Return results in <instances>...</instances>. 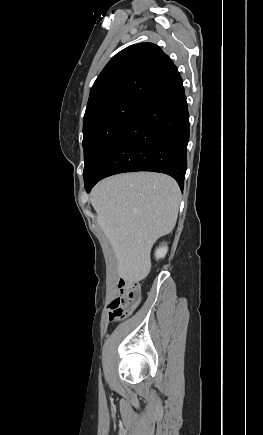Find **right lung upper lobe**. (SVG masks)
<instances>
[{"mask_svg":"<svg viewBox=\"0 0 263 435\" xmlns=\"http://www.w3.org/2000/svg\"><path fill=\"white\" fill-rule=\"evenodd\" d=\"M179 75L155 44L131 45L116 54L94 82L84 119L98 106L122 100L144 103Z\"/></svg>","mask_w":263,"mask_h":435,"instance_id":"obj_1","label":"right lung upper lobe"}]
</instances>
